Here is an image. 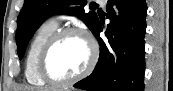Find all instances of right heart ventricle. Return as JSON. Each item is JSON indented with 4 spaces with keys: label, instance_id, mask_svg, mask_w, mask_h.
Instances as JSON below:
<instances>
[{
    "label": "right heart ventricle",
    "instance_id": "right-heart-ventricle-1",
    "mask_svg": "<svg viewBox=\"0 0 173 91\" xmlns=\"http://www.w3.org/2000/svg\"><path fill=\"white\" fill-rule=\"evenodd\" d=\"M58 22L55 19H47L37 28L27 51L25 59V77L28 83L34 86H44L45 82L37 73V58L39 52L49 38L58 29Z\"/></svg>",
    "mask_w": 173,
    "mask_h": 91
}]
</instances>
